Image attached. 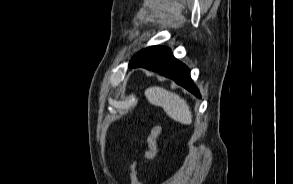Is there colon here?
Here are the masks:
<instances>
[{
	"mask_svg": "<svg viewBox=\"0 0 293 184\" xmlns=\"http://www.w3.org/2000/svg\"><path fill=\"white\" fill-rule=\"evenodd\" d=\"M162 131V127L159 123H156L148 136L147 139V150L142 154L141 157L138 159L134 160L131 165H130V180L131 184H143L142 181L139 178L138 174V165L140 161L144 160H151L153 159L156 154H157V142H158V137L160 136Z\"/></svg>",
	"mask_w": 293,
	"mask_h": 184,
	"instance_id": "1",
	"label": "colon"
}]
</instances>
